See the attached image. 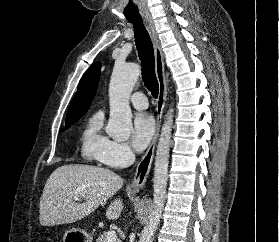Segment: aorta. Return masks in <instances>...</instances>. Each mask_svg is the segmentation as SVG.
<instances>
[{
	"label": "aorta",
	"instance_id": "aorta-1",
	"mask_svg": "<svg viewBox=\"0 0 279 242\" xmlns=\"http://www.w3.org/2000/svg\"><path fill=\"white\" fill-rule=\"evenodd\" d=\"M139 74V66L135 63H117L113 69L109 85L110 117L106 132L118 141L128 140L133 130L129 98ZM172 112L171 109L167 114L157 145L153 178V210L139 242L152 241L165 205L173 125Z\"/></svg>",
	"mask_w": 279,
	"mask_h": 242
}]
</instances>
